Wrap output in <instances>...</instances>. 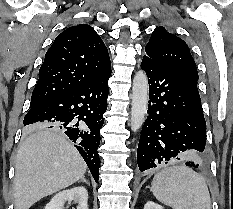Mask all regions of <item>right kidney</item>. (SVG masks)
Segmentation results:
<instances>
[{"instance_id": "1", "label": "right kidney", "mask_w": 233, "mask_h": 209, "mask_svg": "<svg viewBox=\"0 0 233 209\" xmlns=\"http://www.w3.org/2000/svg\"><path fill=\"white\" fill-rule=\"evenodd\" d=\"M74 201L77 209H88V192L85 187L77 186L56 194L45 209H64L65 202Z\"/></svg>"}]
</instances>
